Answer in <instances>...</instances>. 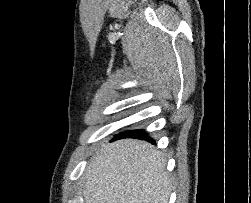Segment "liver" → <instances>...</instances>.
Here are the masks:
<instances>
[{
    "instance_id": "obj_1",
    "label": "liver",
    "mask_w": 251,
    "mask_h": 203,
    "mask_svg": "<svg viewBox=\"0 0 251 203\" xmlns=\"http://www.w3.org/2000/svg\"><path fill=\"white\" fill-rule=\"evenodd\" d=\"M166 161L150 143L123 139L94 155L86 170L85 203H168Z\"/></svg>"
}]
</instances>
